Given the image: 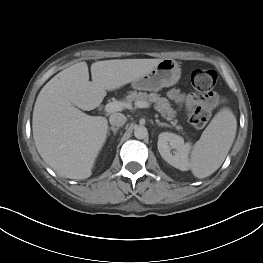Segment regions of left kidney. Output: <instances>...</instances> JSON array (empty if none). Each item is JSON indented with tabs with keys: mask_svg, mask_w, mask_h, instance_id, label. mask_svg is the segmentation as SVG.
Segmentation results:
<instances>
[{
	"mask_svg": "<svg viewBox=\"0 0 263 263\" xmlns=\"http://www.w3.org/2000/svg\"><path fill=\"white\" fill-rule=\"evenodd\" d=\"M157 147L162 158L171 166L186 171L189 168V153L191 144L170 132H163L158 137Z\"/></svg>",
	"mask_w": 263,
	"mask_h": 263,
	"instance_id": "5707ae66",
	"label": "left kidney"
}]
</instances>
